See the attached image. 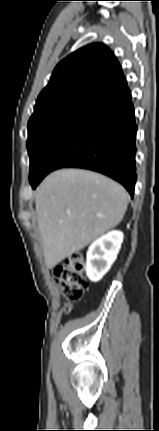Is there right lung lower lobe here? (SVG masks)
I'll list each match as a JSON object with an SVG mask.
<instances>
[{
  "instance_id": "1",
  "label": "right lung lower lobe",
  "mask_w": 159,
  "mask_h": 431,
  "mask_svg": "<svg viewBox=\"0 0 159 431\" xmlns=\"http://www.w3.org/2000/svg\"><path fill=\"white\" fill-rule=\"evenodd\" d=\"M136 131L131 97L86 118L52 147L39 175L30 181L32 187L53 170L73 167L105 174L133 197Z\"/></svg>"
}]
</instances>
